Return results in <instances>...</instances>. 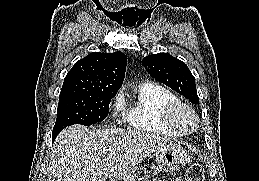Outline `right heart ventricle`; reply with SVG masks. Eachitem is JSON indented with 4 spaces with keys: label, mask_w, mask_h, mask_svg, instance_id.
Listing matches in <instances>:
<instances>
[{
    "label": "right heart ventricle",
    "mask_w": 259,
    "mask_h": 181,
    "mask_svg": "<svg viewBox=\"0 0 259 181\" xmlns=\"http://www.w3.org/2000/svg\"><path fill=\"white\" fill-rule=\"evenodd\" d=\"M178 101L169 88L153 82L143 83L138 87L135 99L125 108V123L146 133L182 137L185 133L166 121L167 109Z\"/></svg>",
    "instance_id": "1"
}]
</instances>
